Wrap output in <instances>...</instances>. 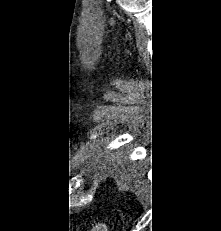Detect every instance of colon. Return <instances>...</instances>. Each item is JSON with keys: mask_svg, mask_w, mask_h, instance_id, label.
<instances>
[{"mask_svg": "<svg viewBox=\"0 0 221 231\" xmlns=\"http://www.w3.org/2000/svg\"><path fill=\"white\" fill-rule=\"evenodd\" d=\"M126 218H127L126 213H122L121 219H122V221H123L124 224H126Z\"/></svg>", "mask_w": 221, "mask_h": 231, "instance_id": "obj_1", "label": "colon"}]
</instances>
